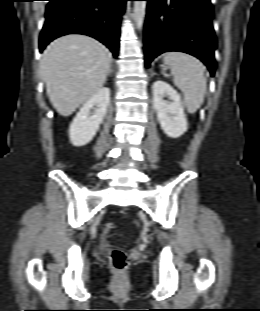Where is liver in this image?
I'll return each instance as SVG.
<instances>
[{"instance_id":"6515ba94","label":"liver","mask_w":260,"mask_h":311,"mask_svg":"<svg viewBox=\"0 0 260 311\" xmlns=\"http://www.w3.org/2000/svg\"><path fill=\"white\" fill-rule=\"evenodd\" d=\"M110 64L109 51L91 37L71 34L53 41L40 71L56 111L69 116L88 101L105 83Z\"/></svg>"}]
</instances>
